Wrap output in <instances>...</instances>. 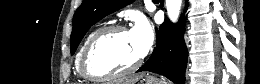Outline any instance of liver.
<instances>
[{
    "label": "liver",
    "instance_id": "liver-1",
    "mask_svg": "<svg viewBox=\"0 0 260 84\" xmlns=\"http://www.w3.org/2000/svg\"><path fill=\"white\" fill-rule=\"evenodd\" d=\"M142 76H143V74H139V75H136L132 78L125 79L123 81V84H135Z\"/></svg>",
    "mask_w": 260,
    "mask_h": 84
}]
</instances>
